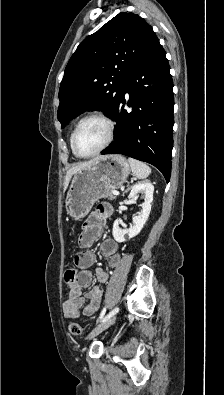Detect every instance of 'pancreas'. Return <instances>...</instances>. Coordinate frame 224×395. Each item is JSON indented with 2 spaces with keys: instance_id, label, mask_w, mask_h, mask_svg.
Instances as JSON below:
<instances>
[{
  "instance_id": "1",
  "label": "pancreas",
  "mask_w": 224,
  "mask_h": 395,
  "mask_svg": "<svg viewBox=\"0 0 224 395\" xmlns=\"http://www.w3.org/2000/svg\"><path fill=\"white\" fill-rule=\"evenodd\" d=\"M106 197H107L109 200L115 199V196L113 195L112 191L108 192V193L106 194Z\"/></svg>"
}]
</instances>
